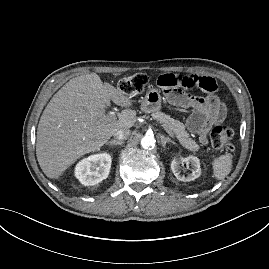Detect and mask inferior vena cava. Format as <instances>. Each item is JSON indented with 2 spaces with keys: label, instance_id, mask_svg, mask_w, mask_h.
<instances>
[{
  "label": "inferior vena cava",
  "instance_id": "obj_1",
  "mask_svg": "<svg viewBox=\"0 0 269 269\" xmlns=\"http://www.w3.org/2000/svg\"><path fill=\"white\" fill-rule=\"evenodd\" d=\"M130 135V130L127 128L119 129L114 133V137L117 140H124Z\"/></svg>",
  "mask_w": 269,
  "mask_h": 269
}]
</instances>
